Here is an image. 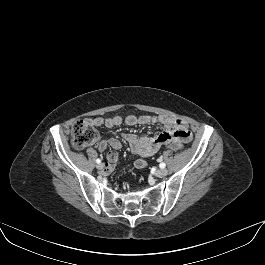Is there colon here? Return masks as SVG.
<instances>
[{
  "label": "colon",
  "instance_id": "obj_1",
  "mask_svg": "<svg viewBox=\"0 0 265 265\" xmlns=\"http://www.w3.org/2000/svg\"><path fill=\"white\" fill-rule=\"evenodd\" d=\"M71 143L76 149H83L96 143L99 140V133L87 120L76 121L70 130ZM183 143L173 139L169 141L168 147L174 150H181Z\"/></svg>",
  "mask_w": 265,
  "mask_h": 265
}]
</instances>
